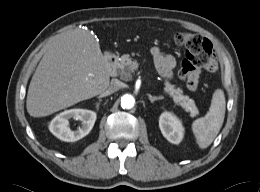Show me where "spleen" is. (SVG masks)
I'll use <instances>...</instances> for the list:
<instances>
[{
  "instance_id": "spleen-1",
  "label": "spleen",
  "mask_w": 260,
  "mask_h": 192,
  "mask_svg": "<svg viewBox=\"0 0 260 192\" xmlns=\"http://www.w3.org/2000/svg\"><path fill=\"white\" fill-rule=\"evenodd\" d=\"M225 110L224 92L222 89H216L208 113L192 123V131L199 148L205 149L214 141L224 122Z\"/></svg>"
}]
</instances>
